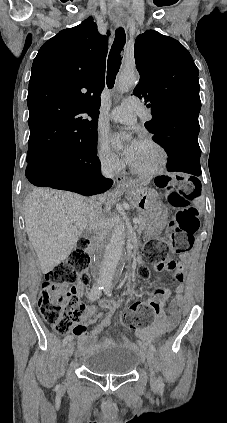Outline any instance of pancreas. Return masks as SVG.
<instances>
[{
	"instance_id": "cf45deb5",
	"label": "pancreas",
	"mask_w": 227,
	"mask_h": 423,
	"mask_svg": "<svg viewBox=\"0 0 227 423\" xmlns=\"http://www.w3.org/2000/svg\"><path fill=\"white\" fill-rule=\"evenodd\" d=\"M103 227H108V221L104 223ZM145 227H146V217H144L142 213H138V223H136L135 229L136 231H138V233H141V231H143Z\"/></svg>"
}]
</instances>
